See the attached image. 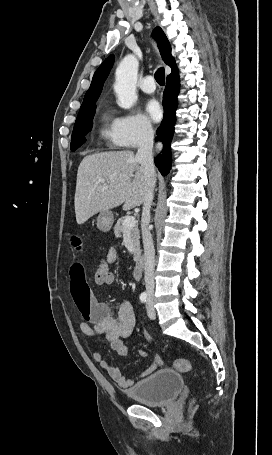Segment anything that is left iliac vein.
Segmentation results:
<instances>
[{
    "mask_svg": "<svg viewBox=\"0 0 272 455\" xmlns=\"http://www.w3.org/2000/svg\"><path fill=\"white\" fill-rule=\"evenodd\" d=\"M147 314L150 319H155L156 317V311L154 309L153 302L151 299H149L147 303Z\"/></svg>",
    "mask_w": 272,
    "mask_h": 455,
    "instance_id": "left-iliac-vein-1",
    "label": "left iliac vein"
}]
</instances>
